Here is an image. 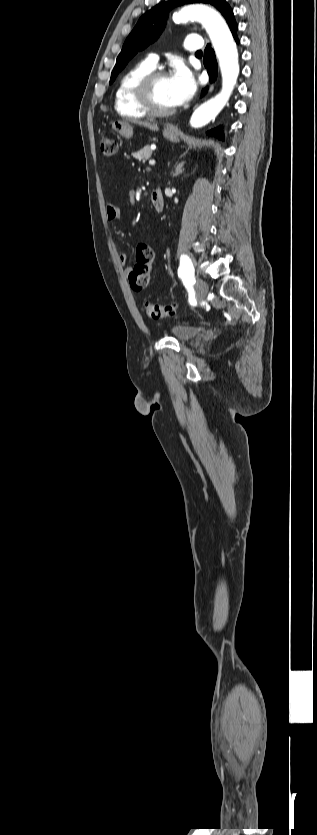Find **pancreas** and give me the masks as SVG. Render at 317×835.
Returning a JSON list of instances; mask_svg holds the SVG:
<instances>
[{"mask_svg": "<svg viewBox=\"0 0 317 835\" xmlns=\"http://www.w3.org/2000/svg\"><path fill=\"white\" fill-rule=\"evenodd\" d=\"M132 155H133L134 158L138 159L139 161L145 162L146 160H148L152 156V150L147 145L144 148H142L141 150H139L137 152H134Z\"/></svg>", "mask_w": 317, "mask_h": 835, "instance_id": "obj_1", "label": "pancreas"}]
</instances>
